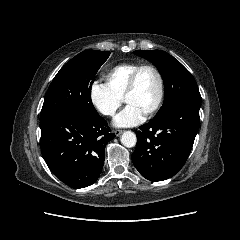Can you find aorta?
Wrapping results in <instances>:
<instances>
[{
  "instance_id": "1",
  "label": "aorta",
  "mask_w": 240,
  "mask_h": 240,
  "mask_svg": "<svg viewBox=\"0 0 240 240\" xmlns=\"http://www.w3.org/2000/svg\"><path fill=\"white\" fill-rule=\"evenodd\" d=\"M120 141L122 145L127 148H132L136 145L137 138L136 135L132 131H125L123 132Z\"/></svg>"
}]
</instances>
